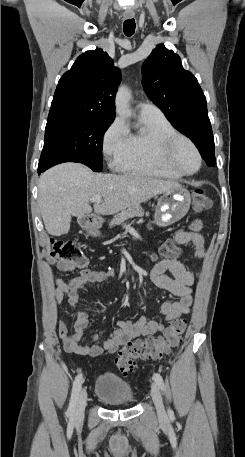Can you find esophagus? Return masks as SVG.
Masks as SVG:
<instances>
[{"label":"esophagus","mask_w":245,"mask_h":457,"mask_svg":"<svg viewBox=\"0 0 245 457\" xmlns=\"http://www.w3.org/2000/svg\"><path fill=\"white\" fill-rule=\"evenodd\" d=\"M123 17H124L125 19L133 18V17H134V12H130V13L125 12V13L123 14Z\"/></svg>","instance_id":"34e87169"}]
</instances>
